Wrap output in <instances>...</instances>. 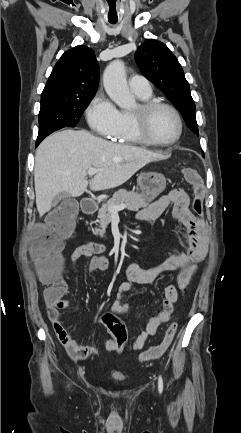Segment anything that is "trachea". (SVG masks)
Instances as JSON below:
<instances>
[{"label": "trachea", "instance_id": "1", "mask_svg": "<svg viewBox=\"0 0 241 433\" xmlns=\"http://www.w3.org/2000/svg\"><path fill=\"white\" fill-rule=\"evenodd\" d=\"M108 11H107V19L111 26H116L119 22V14L117 11V5L114 2H111L108 5Z\"/></svg>", "mask_w": 241, "mask_h": 433}]
</instances>
